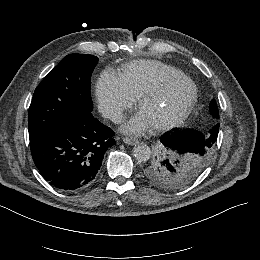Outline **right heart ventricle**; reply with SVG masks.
<instances>
[{
    "label": "right heart ventricle",
    "mask_w": 260,
    "mask_h": 260,
    "mask_svg": "<svg viewBox=\"0 0 260 260\" xmlns=\"http://www.w3.org/2000/svg\"><path fill=\"white\" fill-rule=\"evenodd\" d=\"M182 74L176 68L158 61H140L129 67L126 84L136 94H141L157 81Z\"/></svg>",
    "instance_id": "right-heart-ventricle-1"
}]
</instances>
